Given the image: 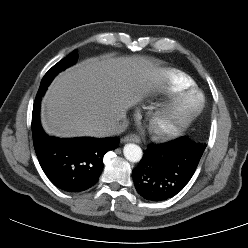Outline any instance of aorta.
Returning <instances> with one entry per match:
<instances>
[{"label":"aorta","mask_w":248,"mask_h":248,"mask_svg":"<svg viewBox=\"0 0 248 248\" xmlns=\"http://www.w3.org/2000/svg\"><path fill=\"white\" fill-rule=\"evenodd\" d=\"M123 153L125 158L133 163L139 162L143 155L140 146L133 143L126 144L123 148Z\"/></svg>","instance_id":"obj_1"}]
</instances>
